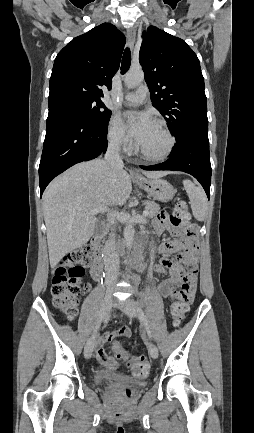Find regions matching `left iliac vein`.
I'll list each match as a JSON object with an SVG mask.
<instances>
[{"instance_id": "1", "label": "left iliac vein", "mask_w": 254, "mask_h": 433, "mask_svg": "<svg viewBox=\"0 0 254 433\" xmlns=\"http://www.w3.org/2000/svg\"><path fill=\"white\" fill-rule=\"evenodd\" d=\"M125 311L129 317H136L137 307L135 301L132 298L127 299ZM148 351L152 358L156 359L158 357V348L154 343H148Z\"/></svg>"}]
</instances>
